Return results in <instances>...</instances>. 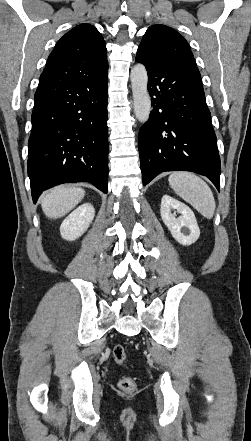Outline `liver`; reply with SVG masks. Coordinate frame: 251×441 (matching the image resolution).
Segmentation results:
<instances>
[{
	"instance_id": "6515ba94",
	"label": "liver",
	"mask_w": 251,
	"mask_h": 441,
	"mask_svg": "<svg viewBox=\"0 0 251 441\" xmlns=\"http://www.w3.org/2000/svg\"><path fill=\"white\" fill-rule=\"evenodd\" d=\"M82 188L57 186L41 200V206L48 218H61L70 212L84 198Z\"/></svg>"
}]
</instances>
